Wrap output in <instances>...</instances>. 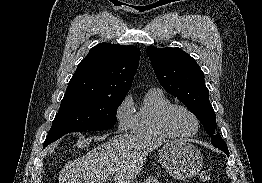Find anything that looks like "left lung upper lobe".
I'll return each instance as SVG.
<instances>
[{
    "instance_id": "1",
    "label": "left lung upper lobe",
    "mask_w": 262,
    "mask_h": 183,
    "mask_svg": "<svg viewBox=\"0 0 262 183\" xmlns=\"http://www.w3.org/2000/svg\"><path fill=\"white\" fill-rule=\"evenodd\" d=\"M147 54L163 88L194 113L215 147L227 148L220 134L215 133V112L209 101L204 73L195 59L180 48L148 47Z\"/></svg>"
}]
</instances>
